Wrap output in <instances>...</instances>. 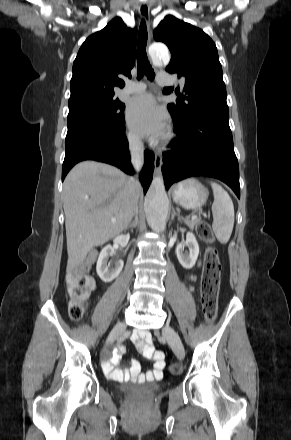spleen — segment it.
<instances>
[{
	"label": "spleen",
	"mask_w": 291,
	"mask_h": 440,
	"mask_svg": "<svg viewBox=\"0 0 291 440\" xmlns=\"http://www.w3.org/2000/svg\"><path fill=\"white\" fill-rule=\"evenodd\" d=\"M214 201L212 204L213 231L218 241L226 244L231 236L234 226V206L233 202L223 187L215 182H211Z\"/></svg>",
	"instance_id": "1"
}]
</instances>
